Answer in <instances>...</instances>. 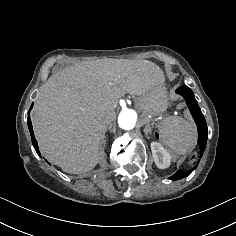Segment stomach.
<instances>
[{
	"label": "stomach",
	"mask_w": 236,
	"mask_h": 236,
	"mask_svg": "<svg viewBox=\"0 0 236 236\" xmlns=\"http://www.w3.org/2000/svg\"><path fill=\"white\" fill-rule=\"evenodd\" d=\"M141 102L147 112L157 114L165 111L168 105V97L164 85L156 84L147 92Z\"/></svg>",
	"instance_id": "1"
}]
</instances>
